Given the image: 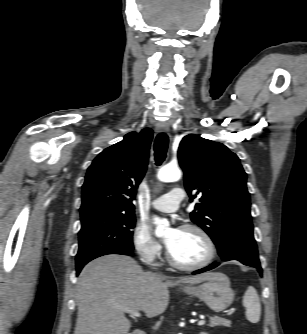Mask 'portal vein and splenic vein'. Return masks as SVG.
I'll list each match as a JSON object with an SVG mask.
<instances>
[{
    "instance_id": "18ae733b",
    "label": "portal vein and splenic vein",
    "mask_w": 307,
    "mask_h": 334,
    "mask_svg": "<svg viewBox=\"0 0 307 334\" xmlns=\"http://www.w3.org/2000/svg\"><path fill=\"white\" fill-rule=\"evenodd\" d=\"M119 309L123 312L129 313L132 317H141V313L137 310L124 308V307H119ZM204 324H205V320H200L198 322L199 326L204 325Z\"/></svg>"
}]
</instances>
